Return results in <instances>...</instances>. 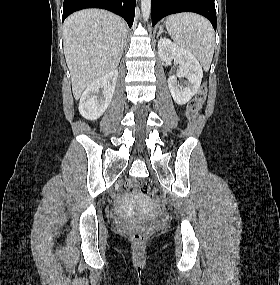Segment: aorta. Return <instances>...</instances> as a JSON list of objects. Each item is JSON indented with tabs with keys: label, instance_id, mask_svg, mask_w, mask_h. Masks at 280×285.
I'll use <instances>...</instances> for the list:
<instances>
[{
	"label": "aorta",
	"instance_id": "1",
	"mask_svg": "<svg viewBox=\"0 0 280 285\" xmlns=\"http://www.w3.org/2000/svg\"><path fill=\"white\" fill-rule=\"evenodd\" d=\"M151 11V0H141V12L143 19L147 21Z\"/></svg>",
	"mask_w": 280,
	"mask_h": 285
}]
</instances>
